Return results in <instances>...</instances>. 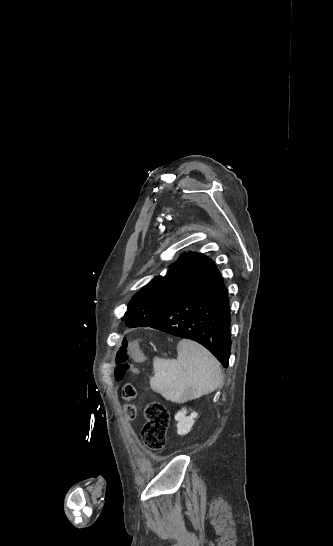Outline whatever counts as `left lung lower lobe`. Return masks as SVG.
Here are the masks:
<instances>
[{
    "label": "left lung lower lobe",
    "instance_id": "obj_1",
    "mask_svg": "<svg viewBox=\"0 0 333 546\" xmlns=\"http://www.w3.org/2000/svg\"><path fill=\"white\" fill-rule=\"evenodd\" d=\"M228 291L214 262L209 259L190 287L163 308L158 318L140 326L130 316L125 325L154 329L194 340L211 351L227 368L231 349V314Z\"/></svg>",
    "mask_w": 333,
    "mask_h": 546
}]
</instances>
